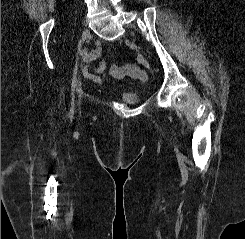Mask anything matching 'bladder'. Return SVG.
Masks as SVG:
<instances>
[{
	"instance_id": "obj_1",
	"label": "bladder",
	"mask_w": 245,
	"mask_h": 239,
	"mask_svg": "<svg viewBox=\"0 0 245 239\" xmlns=\"http://www.w3.org/2000/svg\"><path fill=\"white\" fill-rule=\"evenodd\" d=\"M120 98L128 104H138L141 101L140 93L134 91L123 92Z\"/></svg>"
}]
</instances>
